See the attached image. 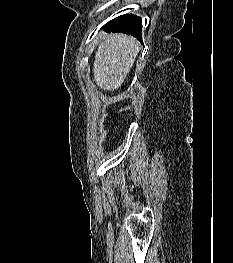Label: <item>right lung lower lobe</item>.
Returning a JSON list of instances; mask_svg holds the SVG:
<instances>
[{"mask_svg": "<svg viewBox=\"0 0 233 263\" xmlns=\"http://www.w3.org/2000/svg\"><path fill=\"white\" fill-rule=\"evenodd\" d=\"M142 21L140 17L128 14L119 16L108 22L103 29L107 32H122L131 34L142 41L141 36Z\"/></svg>", "mask_w": 233, "mask_h": 263, "instance_id": "right-lung-lower-lobe-1", "label": "right lung lower lobe"}]
</instances>
